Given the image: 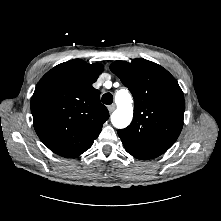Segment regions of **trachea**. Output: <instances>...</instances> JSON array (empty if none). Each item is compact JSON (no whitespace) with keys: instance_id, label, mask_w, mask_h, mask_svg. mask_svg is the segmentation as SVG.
<instances>
[{"instance_id":"1","label":"trachea","mask_w":221,"mask_h":221,"mask_svg":"<svg viewBox=\"0 0 221 221\" xmlns=\"http://www.w3.org/2000/svg\"><path fill=\"white\" fill-rule=\"evenodd\" d=\"M102 102L106 105H110L113 102V95L111 93H105L102 96Z\"/></svg>"}]
</instances>
